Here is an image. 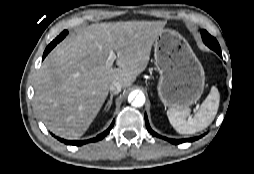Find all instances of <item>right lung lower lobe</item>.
<instances>
[{
	"label": "right lung lower lobe",
	"mask_w": 254,
	"mask_h": 174,
	"mask_svg": "<svg viewBox=\"0 0 254 174\" xmlns=\"http://www.w3.org/2000/svg\"><path fill=\"white\" fill-rule=\"evenodd\" d=\"M68 34V31H63L55 40H53L46 48L44 54H43V59L47 56V54L57 45V43H59L61 40H63V38ZM114 125V121L112 122V124L110 125V127L103 132L102 134H99L96 138L93 139H89V140H84V141H68V140H63L61 138H58L59 141L64 142L65 144L68 145H74V146H80L86 143H90V142H94V141H98L101 140L102 138H104L111 130V128Z\"/></svg>",
	"instance_id": "obj_1"
}]
</instances>
